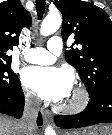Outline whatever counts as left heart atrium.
<instances>
[{
	"mask_svg": "<svg viewBox=\"0 0 112 135\" xmlns=\"http://www.w3.org/2000/svg\"><path fill=\"white\" fill-rule=\"evenodd\" d=\"M22 81L42 99L62 102L72 91L73 78L65 69L31 66L23 71Z\"/></svg>",
	"mask_w": 112,
	"mask_h": 135,
	"instance_id": "obj_1",
	"label": "left heart atrium"
}]
</instances>
